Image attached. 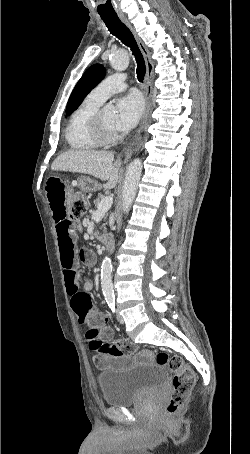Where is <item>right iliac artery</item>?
Returning <instances> with one entry per match:
<instances>
[{
  "mask_svg": "<svg viewBox=\"0 0 250 454\" xmlns=\"http://www.w3.org/2000/svg\"><path fill=\"white\" fill-rule=\"evenodd\" d=\"M109 308L112 310V312H115V299H107L106 300Z\"/></svg>",
  "mask_w": 250,
  "mask_h": 454,
  "instance_id": "right-iliac-artery-1",
  "label": "right iliac artery"
}]
</instances>
